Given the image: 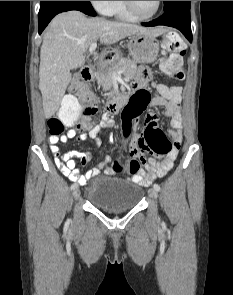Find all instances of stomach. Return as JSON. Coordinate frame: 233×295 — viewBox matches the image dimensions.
I'll return each instance as SVG.
<instances>
[{
	"mask_svg": "<svg viewBox=\"0 0 233 295\" xmlns=\"http://www.w3.org/2000/svg\"><path fill=\"white\" fill-rule=\"evenodd\" d=\"M128 49L135 62L149 64L157 60L159 43L152 35L136 34L131 37L128 43Z\"/></svg>",
	"mask_w": 233,
	"mask_h": 295,
	"instance_id": "stomach-1",
	"label": "stomach"
}]
</instances>
